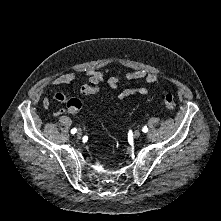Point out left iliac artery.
I'll use <instances>...</instances> for the list:
<instances>
[{"label": "left iliac artery", "instance_id": "44dca946", "mask_svg": "<svg viewBox=\"0 0 221 221\" xmlns=\"http://www.w3.org/2000/svg\"><path fill=\"white\" fill-rule=\"evenodd\" d=\"M142 131H143L144 133H146V132L148 131V128L145 126V127L142 128Z\"/></svg>", "mask_w": 221, "mask_h": 221}]
</instances>
